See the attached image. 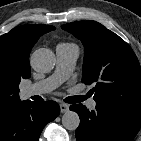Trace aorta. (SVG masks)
Instances as JSON below:
<instances>
[{
    "label": "aorta",
    "mask_w": 141,
    "mask_h": 141,
    "mask_svg": "<svg viewBox=\"0 0 141 141\" xmlns=\"http://www.w3.org/2000/svg\"><path fill=\"white\" fill-rule=\"evenodd\" d=\"M32 68L41 73L50 72L55 65L53 52L46 48L35 50L30 58ZM80 124V118L74 111H66L62 116V125L67 130H76Z\"/></svg>",
    "instance_id": "762f6f07"
}]
</instances>
